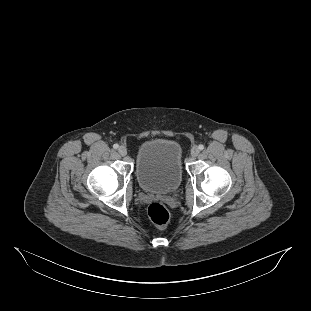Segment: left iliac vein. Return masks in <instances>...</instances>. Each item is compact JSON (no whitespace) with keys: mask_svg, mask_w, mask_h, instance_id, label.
<instances>
[{"mask_svg":"<svg viewBox=\"0 0 311 311\" xmlns=\"http://www.w3.org/2000/svg\"><path fill=\"white\" fill-rule=\"evenodd\" d=\"M200 150L197 146H193L192 149H191V155L193 157H196L198 154H199Z\"/></svg>","mask_w":311,"mask_h":311,"instance_id":"obj_1","label":"left iliac vein"}]
</instances>
